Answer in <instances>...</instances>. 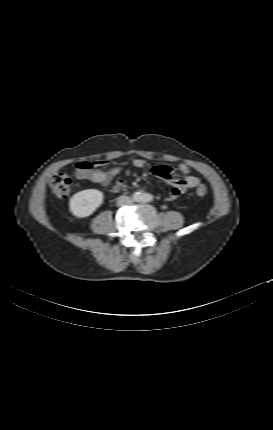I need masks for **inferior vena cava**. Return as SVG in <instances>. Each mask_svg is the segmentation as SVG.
I'll use <instances>...</instances> for the list:
<instances>
[{"instance_id": "1", "label": "inferior vena cava", "mask_w": 273, "mask_h": 430, "mask_svg": "<svg viewBox=\"0 0 273 430\" xmlns=\"http://www.w3.org/2000/svg\"><path fill=\"white\" fill-rule=\"evenodd\" d=\"M132 200L130 197L122 195L117 198V205L118 206H125L131 204Z\"/></svg>"}]
</instances>
